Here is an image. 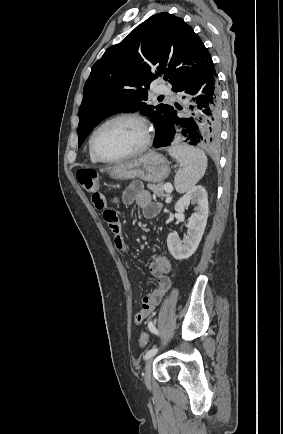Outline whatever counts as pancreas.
I'll return each mask as SVG.
<instances>
[{"label":"pancreas","instance_id":"pancreas-1","mask_svg":"<svg viewBox=\"0 0 283 434\" xmlns=\"http://www.w3.org/2000/svg\"><path fill=\"white\" fill-rule=\"evenodd\" d=\"M148 189H150L155 195H157L160 198L168 197L169 194L164 193V185L162 183H159L157 185L155 184H148Z\"/></svg>","mask_w":283,"mask_h":434}]
</instances>
